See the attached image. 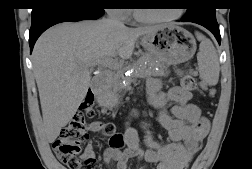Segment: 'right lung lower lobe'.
Returning a JSON list of instances; mask_svg holds the SVG:
<instances>
[{
  "label": "right lung lower lobe",
  "mask_w": 252,
  "mask_h": 169,
  "mask_svg": "<svg viewBox=\"0 0 252 169\" xmlns=\"http://www.w3.org/2000/svg\"><path fill=\"white\" fill-rule=\"evenodd\" d=\"M103 14V8L79 0H46L44 4L34 7L31 13L30 51L38 37L49 27L66 21L95 20Z\"/></svg>",
  "instance_id": "obj_1"
}]
</instances>
